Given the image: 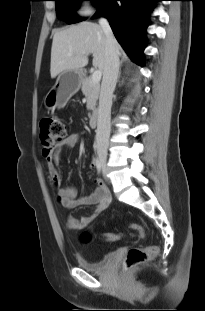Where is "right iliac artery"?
I'll list each match as a JSON object with an SVG mask.
<instances>
[{
    "label": "right iliac artery",
    "mask_w": 205,
    "mask_h": 311,
    "mask_svg": "<svg viewBox=\"0 0 205 311\" xmlns=\"http://www.w3.org/2000/svg\"><path fill=\"white\" fill-rule=\"evenodd\" d=\"M95 166L97 168L98 173H100L101 169H102V164H101V162L99 161L98 158L95 159Z\"/></svg>",
    "instance_id": "obj_1"
}]
</instances>
